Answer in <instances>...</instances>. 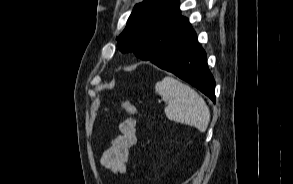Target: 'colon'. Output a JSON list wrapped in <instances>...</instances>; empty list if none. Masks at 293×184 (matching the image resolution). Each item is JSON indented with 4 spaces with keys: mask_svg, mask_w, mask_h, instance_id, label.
<instances>
[{
    "mask_svg": "<svg viewBox=\"0 0 293 184\" xmlns=\"http://www.w3.org/2000/svg\"><path fill=\"white\" fill-rule=\"evenodd\" d=\"M119 105L122 109H124L126 112H128L131 115H137L139 113L138 109L135 105H133L130 101L120 99Z\"/></svg>",
    "mask_w": 293,
    "mask_h": 184,
    "instance_id": "colon-1",
    "label": "colon"
}]
</instances>
